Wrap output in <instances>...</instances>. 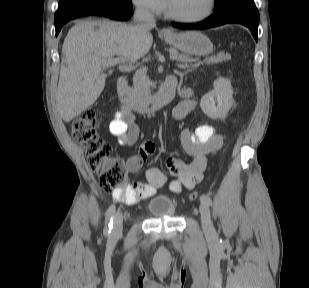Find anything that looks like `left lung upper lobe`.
I'll return each instance as SVG.
<instances>
[{"instance_id":"obj_1","label":"left lung upper lobe","mask_w":309,"mask_h":288,"mask_svg":"<svg viewBox=\"0 0 309 288\" xmlns=\"http://www.w3.org/2000/svg\"><path fill=\"white\" fill-rule=\"evenodd\" d=\"M236 0H215V8L214 11H218L224 7H226L228 4Z\"/></svg>"}]
</instances>
